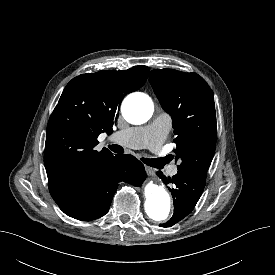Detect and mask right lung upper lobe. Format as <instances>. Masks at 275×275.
<instances>
[{
    "instance_id": "right-lung-upper-lobe-1",
    "label": "right lung upper lobe",
    "mask_w": 275,
    "mask_h": 275,
    "mask_svg": "<svg viewBox=\"0 0 275 275\" xmlns=\"http://www.w3.org/2000/svg\"><path fill=\"white\" fill-rule=\"evenodd\" d=\"M149 68L105 70L82 74L65 87L47 125L45 168L55 202L65 199L74 184L113 154L94 150L100 133L110 134L123 97L141 88Z\"/></svg>"
}]
</instances>
